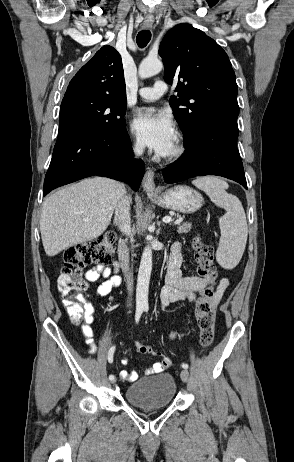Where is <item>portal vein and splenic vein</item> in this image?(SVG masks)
<instances>
[{"mask_svg":"<svg viewBox=\"0 0 294 462\" xmlns=\"http://www.w3.org/2000/svg\"><path fill=\"white\" fill-rule=\"evenodd\" d=\"M171 221H172V218H171V217H164V218H163V222H164V223H170ZM178 222H180V220H179V221H176V223H178Z\"/></svg>","mask_w":294,"mask_h":462,"instance_id":"obj_1","label":"portal vein and splenic vein"}]
</instances>
